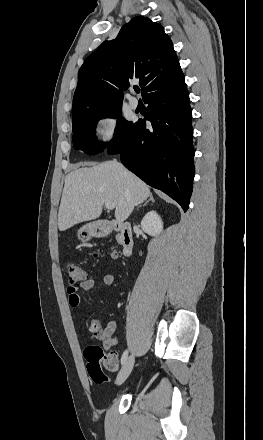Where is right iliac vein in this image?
<instances>
[{
    "instance_id": "1",
    "label": "right iliac vein",
    "mask_w": 263,
    "mask_h": 440,
    "mask_svg": "<svg viewBox=\"0 0 263 440\" xmlns=\"http://www.w3.org/2000/svg\"><path fill=\"white\" fill-rule=\"evenodd\" d=\"M134 362H135L134 354H131L126 359L124 365L122 366L120 372L117 375V378L115 381L116 385H118V386L121 385L128 378V376L130 375V373L133 369Z\"/></svg>"
}]
</instances>
